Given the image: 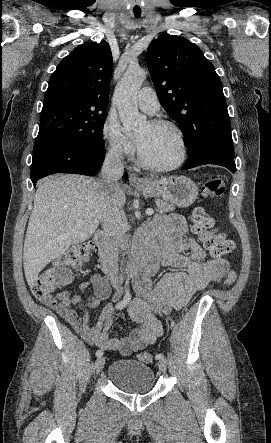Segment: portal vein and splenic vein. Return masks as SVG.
<instances>
[{
	"instance_id": "18ae733b",
	"label": "portal vein and splenic vein",
	"mask_w": 271,
	"mask_h": 443,
	"mask_svg": "<svg viewBox=\"0 0 271 443\" xmlns=\"http://www.w3.org/2000/svg\"><path fill=\"white\" fill-rule=\"evenodd\" d=\"M147 216H152L154 214V210H146Z\"/></svg>"
}]
</instances>
